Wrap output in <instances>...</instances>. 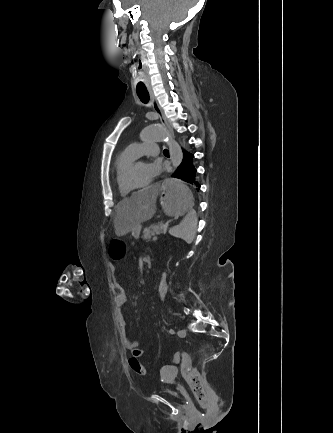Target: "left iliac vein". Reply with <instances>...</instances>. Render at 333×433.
<instances>
[{"mask_svg":"<svg viewBox=\"0 0 333 433\" xmlns=\"http://www.w3.org/2000/svg\"><path fill=\"white\" fill-rule=\"evenodd\" d=\"M178 336L179 337H185L186 336V330L185 329L179 330L178 331Z\"/></svg>","mask_w":333,"mask_h":433,"instance_id":"4c4485c4","label":"left iliac vein"}]
</instances>
